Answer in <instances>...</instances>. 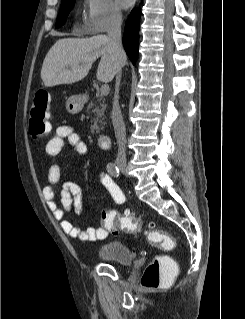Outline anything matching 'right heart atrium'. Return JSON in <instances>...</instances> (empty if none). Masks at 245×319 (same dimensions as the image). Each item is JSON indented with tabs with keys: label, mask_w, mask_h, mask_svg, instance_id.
Returning <instances> with one entry per match:
<instances>
[{
	"label": "right heart atrium",
	"mask_w": 245,
	"mask_h": 319,
	"mask_svg": "<svg viewBox=\"0 0 245 319\" xmlns=\"http://www.w3.org/2000/svg\"><path fill=\"white\" fill-rule=\"evenodd\" d=\"M121 11L113 0H85L82 27L89 34H98L117 27Z\"/></svg>",
	"instance_id": "1"
}]
</instances>
